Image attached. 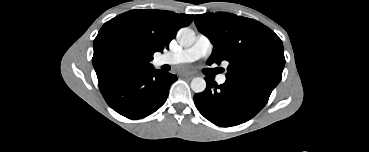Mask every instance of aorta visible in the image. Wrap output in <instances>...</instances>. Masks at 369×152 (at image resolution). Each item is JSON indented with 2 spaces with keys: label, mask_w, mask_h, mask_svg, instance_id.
<instances>
[{
  "label": "aorta",
  "mask_w": 369,
  "mask_h": 152,
  "mask_svg": "<svg viewBox=\"0 0 369 152\" xmlns=\"http://www.w3.org/2000/svg\"><path fill=\"white\" fill-rule=\"evenodd\" d=\"M195 32L187 27L181 28L177 33V40L183 47H190L195 42ZM191 89L195 93H201L206 89V82L201 77H195L191 81Z\"/></svg>",
  "instance_id": "obj_1"
}]
</instances>
